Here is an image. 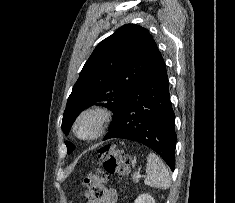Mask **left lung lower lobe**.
I'll return each instance as SVG.
<instances>
[{
    "mask_svg": "<svg viewBox=\"0 0 235 203\" xmlns=\"http://www.w3.org/2000/svg\"><path fill=\"white\" fill-rule=\"evenodd\" d=\"M166 66L158 51L103 140L124 138L157 152L174 171L176 132Z\"/></svg>",
    "mask_w": 235,
    "mask_h": 203,
    "instance_id": "1",
    "label": "left lung lower lobe"
}]
</instances>
